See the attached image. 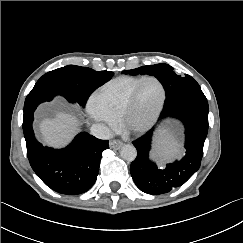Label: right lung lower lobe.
Returning <instances> with one entry per match:
<instances>
[{
    "label": "right lung lower lobe",
    "instance_id": "98d812e1",
    "mask_svg": "<svg viewBox=\"0 0 243 243\" xmlns=\"http://www.w3.org/2000/svg\"><path fill=\"white\" fill-rule=\"evenodd\" d=\"M56 95L59 94L32 90L26 97L23 132L28 159L36 175L52 190L66 195L81 194L95 183L102 152L109 144L82 132L64 149L43 147L34 136L33 113L40 103L51 101Z\"/></svg>",
    "mask_w": 243,
    "mask_h": 243
}]
</instances>
